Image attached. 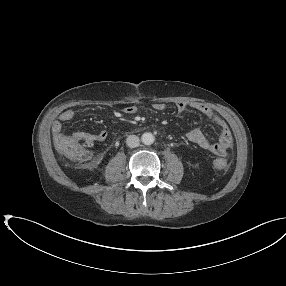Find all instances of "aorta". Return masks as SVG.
<instances>
[{
  "instance_id": "1",
  "label": "aorta",
  "mask_w": 286,
  "mask_h": 286,
  "mask_svg": "<svg viewBox=\"0 0 286 286\" xmlns=\"http://www.w3.org/2000/svg\"><path fill=\"white\" fill-rule=\"evenodd\" d=\"M141 140L145 145H151L154 143L155 137L150 132H145L142 134Z\"/></svg>"
}]
</instances>
